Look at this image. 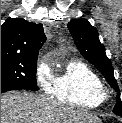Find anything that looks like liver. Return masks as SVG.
I'll list each match as a JSON object with an SVG mask.
<instances>
[{
  "instance_id": "1",
  "label": "liver",
  "mask_w": 122,
  "mask_h": 123,
  "mask_svg": "<svg viewBox=\"0 0 122 123\" xmlns=\"http://www.w3.org/2000/svg\"><path fill=\"white\" fill-rule=\"evenodd\" d=\"M1 123H101L87 110L26 91L1 96Z\"/></svg>"
}]
</instances>
